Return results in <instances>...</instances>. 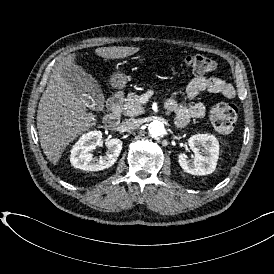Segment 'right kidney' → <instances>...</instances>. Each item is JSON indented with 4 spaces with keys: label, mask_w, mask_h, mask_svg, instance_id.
I'll use <instances>...</instances> for the list:
<instances>
[{
    "label": "right kidney",
    "mask_w": 274,
    "mask_h": 274,
    "mask_svg": "<svg viewBox=\"0 0 274 274\" xmlns=\"http://www.w3.org/2000/svg\"><path fill=\"white\" fill-rule=\"evenodd\" d=\"M101 140V131L94 130L83 134L71 149L72 166L85 171H100L114 165L121 153L123 142L118 138L107 140L106 155L94 158L91 152L100 145Z\"/></svg>",
    "instance_id": "right-kidney-1"
}]
</instances>
